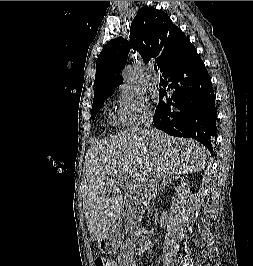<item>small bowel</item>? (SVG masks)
<instances>
[{
    "instance_id": "c3829d8e",
    "label": "small bowel",
    "mask_w": 253,
    "mask_h": 266,
    "mask_svg": "<svg viewBox=\"0 0 253 266\" xmlns=\"http://www.w3.org/2000/svg\"><path fill=\"white\" fill-rule=\"evenodd\" d=\"M124 257H120L119 259H118V263L120 264V266H122V259H123ZM113 263V265L112 266H117V263L116 262H112ZM131 266H136V263H134V262H131Z\"/></svg>"
}]
</instances>
